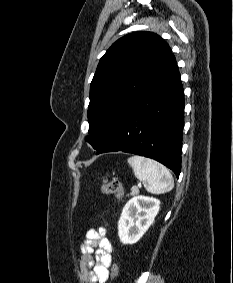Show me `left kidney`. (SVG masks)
Listing matches in <instances>:
<instances>
[{
    "label": "left kidney",
    "mask_w": 233,
    "mask_h": 283,
    "mask_svg": "<svg viewBox=\"0 0 233 283\" xmlns=\"http://www.w3.org/2000/svg\"><path fill=\"white\" fill-rule=\"evenodd\" d=\"M160 209V201L146 196L130 199L118 222V236L123 244H134L153 224Z\"/></svg>",
    "instance_id": "1"
}]
</instances>
